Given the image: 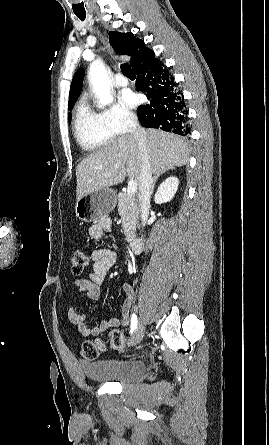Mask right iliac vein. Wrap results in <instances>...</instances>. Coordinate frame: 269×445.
Here are the masks:
<instances>
[{
	"mask_svg": "<svg viewBox=\"0 0 269 445\" xmlns=\"http://www.w3.org/2000/svg\"><path fill=\"white\" fill-rule=\"evenodd\" d=\"M143 336H144V324L142 321H140L129 340V345L131 346L137 345L143 339Z\"/></svg>",
	"mask_w": 269,
	"mask_h": 445,
	"instance_id": "right-iliac-vein-1",
	"label": "right iliac vein"
}]
</instances>
